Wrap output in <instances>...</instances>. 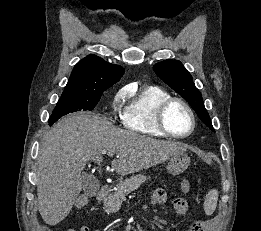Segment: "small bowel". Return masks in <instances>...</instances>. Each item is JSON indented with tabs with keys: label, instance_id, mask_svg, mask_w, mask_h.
<instances>
[{
	"label": "small bowel",
	"instance_id": "small-bowel-1",
	"mask_svg": "<svg viewBox=\"0 0 261 231\" xmlns=\"http://www.w3.org/2000/svg\"><path fill=\"white\" fill-rule=\"evenodd\" d=\"M185 182H187V180L183 179L182 184H184ZM166 198V193L162 189H157L151 195L150 203L152 206H159L164 204ZM173 208L178 215L187 216L191 220V225L195 222H199L194 221L192 216L190 215L189 204L186 201V199L182 197H176L173 200ZM214 223V220H208L206 222H203V226L198 231H214ZM66 231H89V229L87 226H80L77 228H68Z\"/></svg>",
	"mask_w": 261,
	"mask_h": 231
}]
</instances>
